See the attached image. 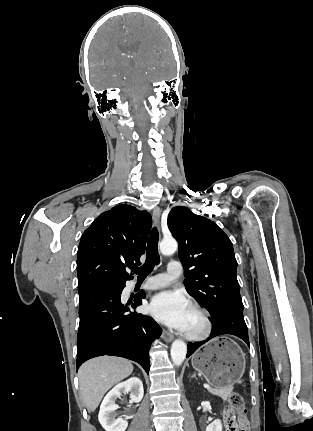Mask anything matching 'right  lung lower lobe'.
Listing matches in <instances>:
<instances>
[{
  "instance_id": "1",
  "label": "right lung lower lobe",
  "mask_w": 313,
  "mask_h": 431,
  "mask_svg": "<svg viewBox=\"0 0 313 431\" xmlns=\"http://www.w3.org/2000/svg\"><path fill=\"white\" fill-rule=\"evenodd\" d=\"M122 284H97L79 291L80 323L77 339V369L86 360L113 355L138 362L148 373V350L162 329L151 318L133 309L145 293L124 304Z\"/></svg>"
}]
</instances>
